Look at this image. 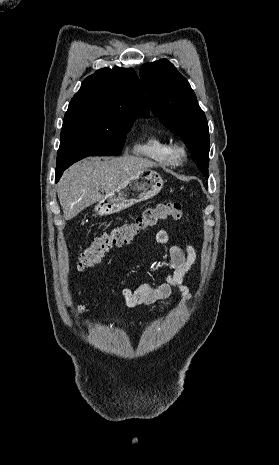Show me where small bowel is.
<instances>
[{"mask_svg": "<svg viewBox=\"0 0 279 465\" xmlns=\"http://www.w3.org/2000/svg\"><path fill=\"white\" fill-rule=\"evenodd\" d=\"M155 239L159 244L167 246L170 256L169 265L172 272L158 286L142 284L136 289L123 288L119 294L128 307L151 305L157 301L167 299L171 295L173 288L180 291L181 306H184L185 302L192 297L190 288L185 284V277L197 258L194 247L186 244L183 249L170 244L168 232L164 229L156 232ZM110 291L112 294H116L115 289Z\"/></svg>", "mask_w": 279, "mask_h": 465, "instance_id": "small-bowel-1", "label": "small bowel"}]
</instances>
